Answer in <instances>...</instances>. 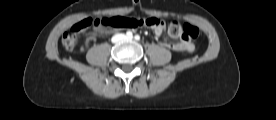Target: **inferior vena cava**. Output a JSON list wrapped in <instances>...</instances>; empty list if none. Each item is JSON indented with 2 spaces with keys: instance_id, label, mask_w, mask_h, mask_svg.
<instances>
[{
  "instance_id": "inferior-vena-cava-1",
  "label": "inferior vena cava",
  "mask_w": 276,
  "mask_h": 120,
  "mask_svg": "<svg viewBox=\"0 0 276 120\" xmlns=\"http://www.w3.org/2000/svg\"><path fill=\"white\" fill-rule=\"evenodd\" d=\"M122 39H124V35H122V34H117V35L113 36L112 42H113V43H116V42H118V41H120V40H122Z\"/></svg>"
}]
</instances>
